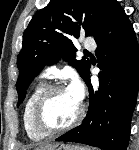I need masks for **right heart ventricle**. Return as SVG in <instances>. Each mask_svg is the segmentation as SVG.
Returning <instances> with one entry per match:
<instances>
[{
  "mask_svg": "<svg viewBox=\"0 0 139 150\" xmlns=\"http://www.w3.org/2000/svg\"><path fill=\"white\" fill-rule=\"evenodd\" d=\"M45 87L46 84L44 82L38 83L33 88L32 92L27 98L23 109L22 121H23L24 130L27 136L34 141L42 140L43 138L46 137L45 135L38 133L34 129L32 124V111H33L34 104L37 98L39 97V95L41 94V92L45 89Z\"/></svg>",
  "mask_w": 139,
  "mask_h": 150,
  "instance_id": "e07e8e85",
  "label": "right heart ventricle"
}]
</instances>
